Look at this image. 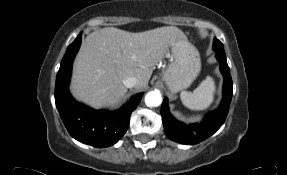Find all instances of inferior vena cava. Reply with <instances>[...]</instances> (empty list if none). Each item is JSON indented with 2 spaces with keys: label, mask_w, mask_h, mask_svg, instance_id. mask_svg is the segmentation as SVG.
Masks as SVG:
<instances>
[{
  "label": "inferior vena cava",
  "mask_w": 287,
  "mask_h": 175,
  "mask_svg": "<svg viewBox=\"0 0 287 175\" xmlns=\"http://www.w3.org/2000/svg\"><path fill=\"white\" fill-rule=\"evenodd\" d=\"M139 80L136 77L130 76L127 77L124 81L123 84L127 88H132L138 85Z\"/></svg>",
  "instance_id": "obj_1"
}]
</instances>
